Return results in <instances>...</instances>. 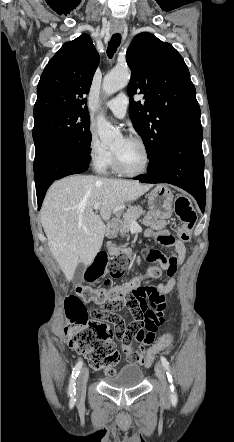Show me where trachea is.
Listing matches in <instances>:
<instances>
[{"label":"trachea","instance_id":"obj_1","mask_svg":"<svg viewBox=\"0 0 234 442\" xmlns=\"http://www.w3.org/2000/svg\"><path fill=\"white\" fill-rule=\"evenodd\" d=\"M120 43H121V36L119 34H114L111 37V40L108 42L107 55L109 58L113 57Z\"/></svg>","mask_w":234,"mask_h":442}]
</instances>
